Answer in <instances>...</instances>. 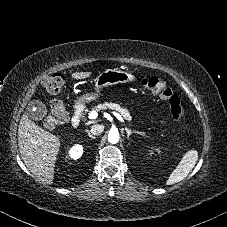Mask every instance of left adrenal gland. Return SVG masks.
Wrapping results in <instances>:
<instances>
[{
  "instance_id": "a2214340",
  "label": "left adrenal gland",
  "mask_w": 227,
  "mask_h": 227,
  "mask_svg": "<svg viewBox=\"0 0 227 227\" xmlns=\"http://www.w3.org/2000/svg\"><path fill=\"white\" fill-rule=\"evenodd\" d=\"M125 131L127 132V137L129 138L131 136V134L135 133V134H142L139 131H131L129 130L127 127H125Z\"/></svg>"
}]
</instances>
